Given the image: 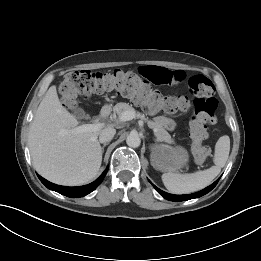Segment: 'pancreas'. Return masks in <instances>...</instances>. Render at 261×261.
Here are the masks:
<instances>
[{"mask_svg":"<svg viewBox=\"0 0 261 261\" xmlns=\"http://www.w3.org/2000/svg\"><path fill=\"white\" fill-rule=\"evenodd\" d=\"M113 111H114V114H117L119 117L125 111H134L135 116L138 117V118H142V116H144L141 113L136 112L131 105H129L127 103H122V102L117 103L113 107ZM147 123H148V126L154 130V134H155L157 141H161V142L164 141V142H167V143L173 142L169 133L157 121L148 120Z\"/></svg>","mask_w":261,"mask_h":261,"instance_id":"cf45deb5","label":"pancreas"}]
</instances>
